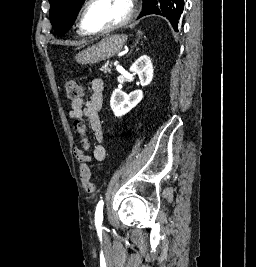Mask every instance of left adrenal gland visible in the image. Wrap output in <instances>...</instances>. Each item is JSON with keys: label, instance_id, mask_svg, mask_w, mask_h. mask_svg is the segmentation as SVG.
Instances as JSON below:
<instances>
[{"label": "left adrenal gland", "instance_id": "1", "mask_svg": "<svg viewBox=\"0 0 256 267\" xmlns=\"http://www.w3.org/2000/svg\"><path fill=\"white\" fill-rule=\"evenodd\" d=\"M137 36H138V38H137V40H135L136 44H138L139 40H141L140 34H137ZM136 44H135V46H136ZM129 54H132V50H131V52H129Z\"/></svg>", "mask_w": 256, "mask_h": 267}]
</instances>
